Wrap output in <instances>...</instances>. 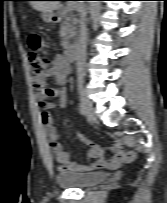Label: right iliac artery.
Here are the masks:
<instances>
[{"label":"right iliac artery","instance_id":"right-iliac-artery-1","mask_svg":"<svg viewBox=\"0 0 167 203\" xmlns=\"http://www.w3.org/2000/svg\"><path fill=\"white\" fill-rule=\"evenodd\" d=\"M78 110H79L81 115H85L86 114L85 107H84V105L82 103L78 104Z\"/></svg>","mask_w":167,"mask_h":203}]
</instances>
